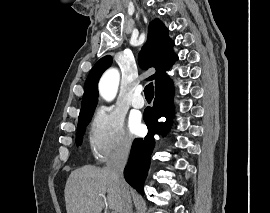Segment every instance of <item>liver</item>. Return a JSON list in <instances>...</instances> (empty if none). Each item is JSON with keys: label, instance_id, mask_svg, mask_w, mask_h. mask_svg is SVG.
<instances>
[{"label": "liver", "instance_id": "1", "mask_svg": "<svg viewBox=\"0 0 270 213\" xmlns=\"http://www.w3.org/2000/svg\"><path fill=\"white\" fill-rule=\"evenodd\" d=\"M107 205L116 213L121 209L119 187L106 168L83 166L71 172L65 190L67 213H101Z\"/></svg>", "mask_w": 270, "mask_h": 213}]
</instances>
